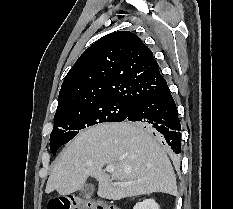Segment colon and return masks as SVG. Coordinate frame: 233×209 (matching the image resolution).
<instances>
[{
    "label": "colon",
    "instance_id": "obj_1",
    "mask_svg": "<svg viewBox=\"0 0 233 209\" xmlns=\"http://www.w3.org/2000/svg\"><path fill=\"white\" fill-rule=\"evenodd\" d=\"M47 209H120L105 201L86 199L78 196L60 198L48 203Z\"/></svg>",
    "mask_w": 233,
    "mask_h": 209
}]
</instances>
